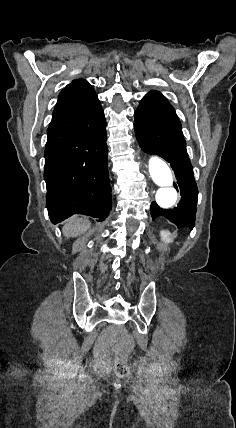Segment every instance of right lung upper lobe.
Returning <instances> with one entry per match:
<instances>
[{"label": "right lung upper lobe", "instance_id": "obj_1", "mask_svg": "<svg viewBox=\"0 0 236 428\" xmlns=\"http://www.w3.org/2000/svg\"><path fill=\"white\" fill-rule=\"evenodd\" d=\"M100 107L93 87L86 80L76 79L61 91L52 119L85 114Z\"/></svg>", "mask_w": 236, "mask_h": 428}]
</instances>
